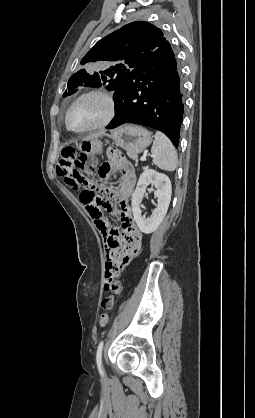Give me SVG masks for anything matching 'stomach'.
I'll return each instance as SVG.
<instances>
[{
  "label": "stomach",
  "instance_id": "stomach-1",
  "mask_svg": "<svg viewBox=\"0 0 255 418\" xmlns=\"http://www.w3.org/2000/svg\"><path fill=\"white\" fill-rule=\"evenodd\" d=\"M109 137L114 140L117 146L136 155L148 147L152 141L151 133L138 125H124L111 131ZM79 148L87 155L98 154L102 151V142L98 138L84 140Z\"/></svg>",
  "mask_w": 255,
  "mask_h": 418
}]
</instances>
